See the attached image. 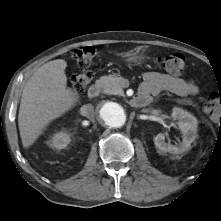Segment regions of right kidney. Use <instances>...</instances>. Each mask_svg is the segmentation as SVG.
<instances>
[{
  "mask_svg": "<svg viewBox=\"0 0 221 221\" xmlns=\"http://www.w3.org/2000/svg\"><path fill=\"white\" fill-rule=\"evenodd\" d=\"M71 141L70 135L64 131L55 133L48 144L56 149H64Z\"/></svg>",
  "mask_w": 221,
  "mask_h": 221,
  "instance_id": "obj_1",
  "label": "right kidney"
}]
</instances>
